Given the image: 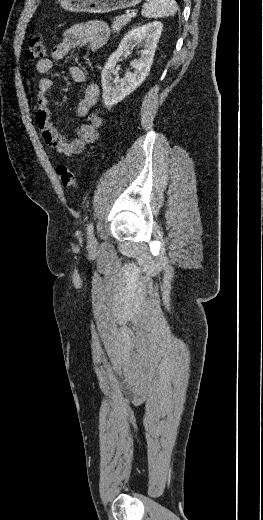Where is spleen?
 I'll use <instances>...</instances> for the list:
<instances>
[{"instance_id":"spleen-1","label":"spleen","mask_w":263,"mask_h":520,"mask_svg":"<svg viewBox=\"0 0 263 520\" xmlns=\"http://www.w3.org/2000/svg\"><path fill=\"white\" fill-rule=\"evenodd\" d=\"M141 14L147 18L173 16L177 11L175 0H147Z\"/></svg>"}]
</instances>
